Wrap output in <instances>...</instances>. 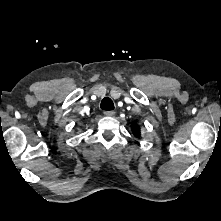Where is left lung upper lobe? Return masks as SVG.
I'll list each match as a JSON object with an SVG mask.
<instances>
[{
    "instance_id": "5c2ea615",
    "label": "left lung upper lobe",
    "mask_w": 221,
    "mask_h": 221,
    "mask_svg": "<svg viewBox=\"0 0 221 221\" xmlns=\"http://www.w3.org/2000/svg\"><path fill=\"white\" fill-rule=\"evenodd\" d=\"M131 130L136 137L140 136V128L136 123L133 122L131 124Z\"/></svg>"
}]
</instances>
